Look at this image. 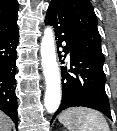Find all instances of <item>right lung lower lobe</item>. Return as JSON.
Here are the masks:
<instances>
[{
    "instance_id": "obj_1",
    "label": "right lung lower lobe",
    "mask_w": 117,
    "mask_h": 131,
    "mask_svg": "<svg viewBox=\"0 0 117 131\" xmlns=\"http://www.w3.org/2000/svg\"><path fill=\"white\" fill-rule=\"evenodd\" d=\"M18 29L0 38V110L5 112L18 126L17 98L15 94L16 47Z\"/></svg>"
}]
</instances>
